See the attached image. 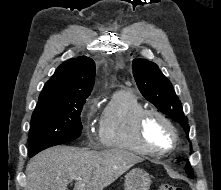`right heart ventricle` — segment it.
<instances>
[{
    "label": "right heart ventricle",
    "instance_id": "obj_1",
    "mask_svg": "<svg viewBox=\"0 0 221 190\" xmlns=\"http://www.w3.org/2000/svg\"><path fill=\"white\" fill-rule=\"evenodd\" d=\"M144 109L145 105L131 89L114 91L100 117L98 134L102 146L151 155L140 145L135 134L136 118Z\"/></svg>",
    "mask_w": 221,
    "mask_h": 190
}]
</instances>
